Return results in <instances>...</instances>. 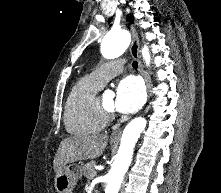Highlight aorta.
Listing matches in <instances>:
<instances>
[{"instance_id":"aorta-1","label":"aorta","mask_w":221,"mask_h":193,"mask_svg":"<svg viewBox=\"0 0 221 193\" xmlns=\"http://www.w3.org/2000/svg\"><path fill=\"white\" fill-rule=\"evenodd\" d=\"M130 44L129 32L123 29L110 31L105 35L101 43L102 55L107 59L119 57L126 51ZM142 56L146 65L150 63V54L147 46L142 48ZM146 127L145 118L138 117L133 119L125 127L121 143L113 162V165L106 176L105 193H118L123 177L131 163L134 146Z\"/></svg>"}]
</instances>
